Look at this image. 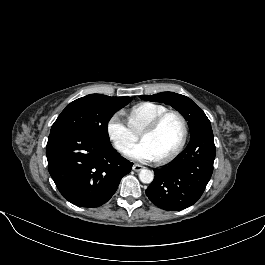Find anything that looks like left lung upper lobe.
<instances>
[{
	"label": "left lung upper lobe",
	"mask_w": 265,
	"mask_h": 265,
	"mask_svg": "<svg viewBox=\"0 0 265 265\" xmlns=\"http://www.w3.org/2000/svg\"><path fill=\"white\" fill-rule=\"evenodd\" d=\"M145 101H154L171 105L188 121L191 134L211 123L205 113L190 98L174 92H162L150 96H140Z\"/></svg>",
	"instance_id": "obj_1"
}]
</instances>
